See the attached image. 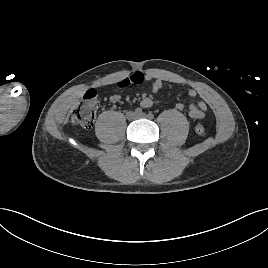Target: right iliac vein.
<instances>
[{
	"label": "right iliac vein",
	"mask_w": 268,
	"mask_h": 268,
	"mask_svg": "<svg viewBox=\"0 0 268 268\" xmlns=\"http://www.w3.org/2000/svg\"><path fill=\"white\" fill-rule=\"evenodd\" d=\"M126 117H127L128 120H134V119L137 118V114L135 112H133V111H129L126 114Z\"/></svg>",
	"instance_id": "63e3f726"
}]
</instances>
